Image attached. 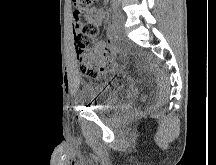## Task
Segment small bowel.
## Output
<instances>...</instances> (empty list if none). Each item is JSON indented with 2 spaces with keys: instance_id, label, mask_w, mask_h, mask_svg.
Masks as SVG:
<instances>
[{
  "instance_id": "1",
  "label": "small bowel",
  "mask_w": 216,
  "mask_h": 165,
  "mask_svg": "<svg viewBox=\"0 0 216 165\" xmlns=\"http://www.w3.org/2000/svg\"><path fill=\"white\" fill-rule=\"evenodd\" d=\"M76 12H79V9H76ZM104 16H105V11L103 9H101V8H92L87 13L86 23L99 26V25H101L103 23ZM73 18H74V21H73V36L75 38V36L78 34V32H79V30H80V28L82 26V23H81V21L79 19V14L78 13H74ZM94 50L96 52H99V53H104V52H107V51H111V50L106 48L104 42L101 41V40L96 41V43L94 45ZM85 92H86L87 95H89L87 87L85 88Z\"/></svg>"
}]
</instances>
